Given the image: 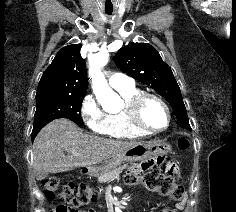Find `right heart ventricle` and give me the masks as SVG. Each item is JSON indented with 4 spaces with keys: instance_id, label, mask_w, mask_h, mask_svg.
I'll return each instance as SVG.
<instances>
[{
    "instance_id": "obj_1",
    "label": "right heart ventricle",
    "mask_w": 236,
    "mask_h": 212,
    "mask_svg": "<svg viewBox=\"0 0 236 212\" xmlns=\"http://www.w3.org/2000/svg\"><path fill=\"white\" fill-rule=\"evenodd\" d=\"M116 91L123 98L125 105L117 113L106 114L107 121L104 134L116 139H135L147 136V133L138 130L132 125L126 108L128 101L138 94L139 90L132 84L125 88L116 89Z\"/></svg>"
}]
</instances>
